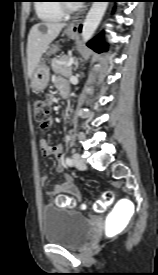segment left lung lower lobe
<instances>
[{
  "label": "left lung lower lobe",
  "mask_w": 158,
  "mask_h": 275,
  "mask_svg": "<svg viewBox=\"0 0 158 275\" xmlns=\"http://www.w3.org/2000/svg\"><path fill=\"white\" fill-rule=\"evenodd\" d=\"M80 29H81V26H80ZM87 45L93 50H95L96 52H101L102 51L101 47L103 45V34H100L96 38L89 41Z\"/></svg>",
  "instance_id": "left-lung-lower-lobe-1"
}]
</instances>
